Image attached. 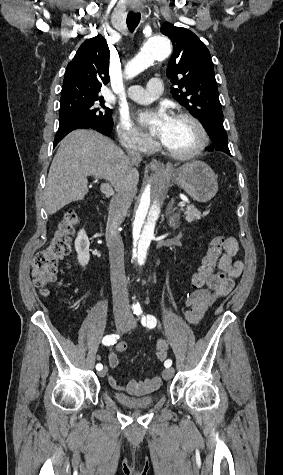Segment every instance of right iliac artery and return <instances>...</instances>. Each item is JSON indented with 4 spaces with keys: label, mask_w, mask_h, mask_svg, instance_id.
Returning a JSON list of instances; mask_svg holds the SVG:
<instances>
[{
    "label": "right iliac artery",
    "mask_w": 283,
    "mask_h": 475,
    "mask_svg": "<svg viewBox=\"0 0 283 475\" xmlns=\"http://www.w3.org/2000/svg\"><path fill=\"white\" fill-rule=\"evenodd\" d=\"M117 339H119L118 334L107 335L103 338L102 343L106 346L114 345L116 343ZM102 368H103L102 364L99 363V364L96 365V370L100 371V370H102Z\"/></svg>",
    "instance_id": "right-iliac-artery-1"
}]
</instances>
